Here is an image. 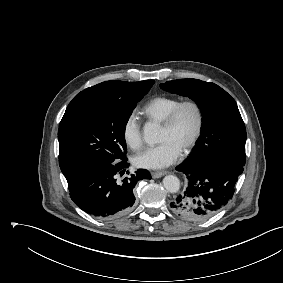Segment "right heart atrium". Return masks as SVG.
<instances>
[{
	"instance_id": "right-heart-atrium-1",
	"label": "right heart atrium",
	"mask_w": 283,
	"mask_h": 283,
	"mask_svg": "<svg viewBox=\"0 0 283 283\" xmlns=\"http://www.w3.org/2000/svg\"><path fill=\"white\" fill-rule=\"evenodd\" d=\"M122 136L128 147L137 149L141 146L143 141L141 125L134 113L125 119L122 127Z\"/></svg>"
}]
</instances>
